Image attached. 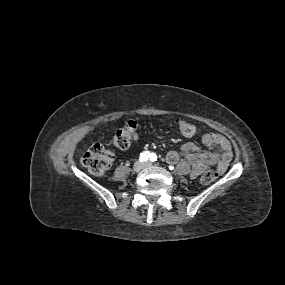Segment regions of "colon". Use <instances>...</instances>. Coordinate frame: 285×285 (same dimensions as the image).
Returning a JSON list of instances; mask_svg holds the SVG:
<instances>
[{"label":"colon","mask_w":285,"mask_h":285,"mask_svg":"<svg viewBox=\"0 0 285 285\" xmlns=\"http://www.w3.org/2000/svg\"><path fill=\"white\" fill-rule=\"evenodd\" d=\"M180 133L191 138L196 134V126L187 120L178 118L176 120ZM137 122L129 120L122 128L116 131L113 137V144L120 149H127L131 142L137 137ZM114 156L113 152L101 143L93 144L82 158L83 166L93 175L104 176L112 165ZM218 177V173L213 170L205 171L200 180L204 185L211 184Z\"/></svg>","instance_id":"5ec220e1"}]
</instances>
